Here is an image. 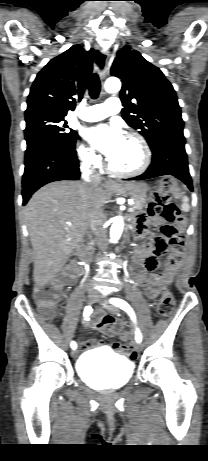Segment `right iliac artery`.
I'll return each mask as SVG.
<instances>
[{"label": "right iliac artery", "instance_id": "right-iliac-artery-1", "mask_svg": "<svg viewBox=\"0 0 208 461\" xmlns=\"http://www.w3.org/2000/svg\"><path fill=\"white\" fill-rule=\"evenodd\" d=\"M91 312H92L91 306H86L85 310H84V316L88 317L91 314ZM76 347H77L76 343L74 341H72L71 342V348L76 349Z\"/></svg>", "mask_w": 208, "mask_h": 461}]
</instances>
